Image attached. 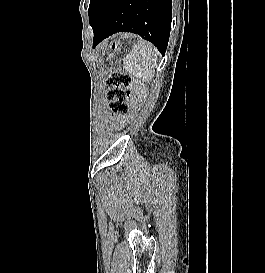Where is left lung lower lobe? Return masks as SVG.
<instances>
[{
	"label": "left lung lower lobe",
	"instance_id": "1",
	"mask_svg": "<svg viewBox=\"0 0 265 273\" xmlns=\"http://www.w3.org/2000/svg\"><path fill=\"white\" fill-rule=\"evenodd\" d=\"M90 9L104 13L94 31L93 47L110 35L124 31L139 34L164 54L172 20V0H90Z\"/></svg>",
	"mask_w": 265,
	"mask_h": 273
}]
</instances>
